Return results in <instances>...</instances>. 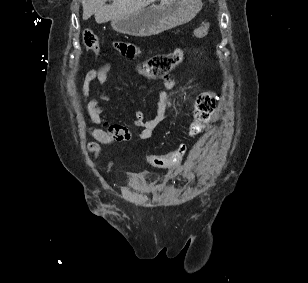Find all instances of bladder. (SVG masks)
I'll return each instance as SVG.
<instances>
[{
	"label": "bladder",
	"mask_w": 308,
	"mask_h": 283,
	"mask_svg": "<svg viewBox=\"0 0 308 283\" xmlns=\"http://www.w3.org/2000/svg\"><path fill=\"white\" fill-rule=\"evenodd\" d=\"M139 181L136 178H130L128 181V185L133 188V189H137L139 187Z\"/></svg>",
	"instance_id": "31cf9c89"
}]
</instances>
